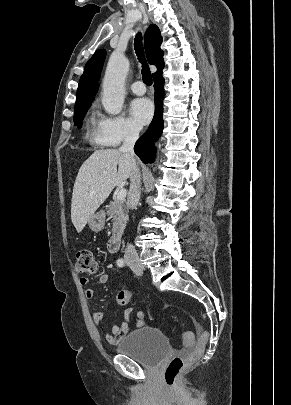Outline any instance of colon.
Listing matches in <instances>:
<instances>
[{"instance_id": "obj_1", "label": "colon", "mask_w": 291, "mask_h": 405, "mask_svg": "<svg viewBox=\"0 0 291 405\" xmlns=\"http://www.w3.org/2000/svg\"><path fill=\"white\" fill-rule=\"evenodd\" d=\"M76 270L81 274L91 276L98 273V262L89 249H80L77 252ZM116 300L121 305L128 304L131 300V292L125 287H120L117 292ZM208 339L209 333L207 331H202L193 352L185 357L175 356L169 361L164 372V379L167 385H174L183 370L195 363L203 355ZM182 342L185 346H191L194 342V335L190 332L184 333L182 336Z\"/></svg>"}]
</instances>
